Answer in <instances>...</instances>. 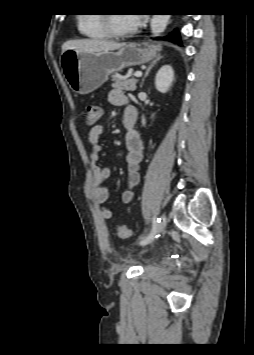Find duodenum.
Listing matches in <instances>:
<instances>
[{
    "label": "duodenum",
    "mask_w": 254,
    "mask_h": 355,
    "mask_svg": "<svg viewBox=\"0 0 254 355\" xmlns=\"http://www.w3.org/2000/svg\"><path fill=\"white\" fill-rule=\"evenodd\" d=\"M125 128L127 129V128H133L134 127V121H131V120H127L126 122H125Z\"/></svg>",
    "instance_id": "410a0bca"
}]
</instances>
